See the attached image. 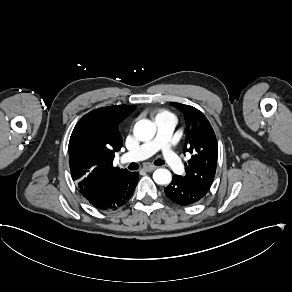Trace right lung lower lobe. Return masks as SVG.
<instances>
[{
  "label": "right lung lower lobe",
  "instance_id": "1",
  "mask_svg": "<svg viewBox=\"0 0 292 292\" xmlns=\"http://www.w3.org/2000/svg\"><path fill=\"white\" fill-rule=\"evenodd\" d=\"M138 172H128L95 190L81 191V194L95 208L117 209L130 199L138 182Z\"/></svg>",
  "mask_w": 292,
  "mask_h": 292
}]
</instances>
